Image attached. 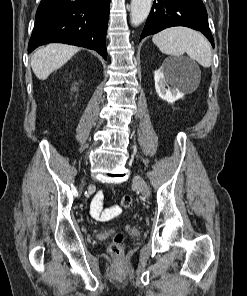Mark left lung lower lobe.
I'll return each instance as SVG.
<instances>
[{
    "instance_id": "1",
    "label": "left lung lower lobe",
    "mask_w": 247,
    "mask_h": 296,
    "mask_svg": "<svg viewBox=\"0 0 247 296\" xmlns=\"http://www.w3.org/2000/svg\"><path fill=\"white\" fill-rule=\"evenodd\" d=\"M172 26H186L201 31L214 47L202 0H155L140 40Z\"/></svg>"
}]
</instances>
